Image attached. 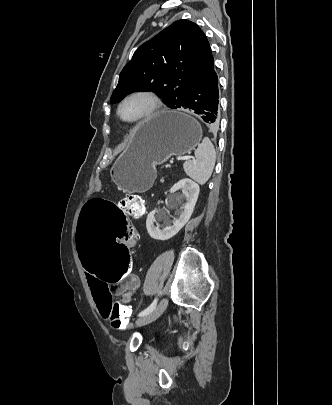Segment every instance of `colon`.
I'll return each mask as SVG.
<instances>
[{
	"mask_svg": "<svg viewBox=\"0 0 332 405\" xmlns=\"http://www.w3.org/2000/svg\"><path fill=\"white\" fill-rule=\"evenodd\" d=\"M142 214L143 199L128 195L120 201L109 202L107 197H89L80 211V220H75V234L80 257V267L86 275H98L99 281H109L110 287H117L118 281H126L131 275L132 249H136L138 227L134 220H128V211ZM108 320L114 328L127 329L135 323L132 307L112 302L108 308ZM150 334L157 332L155 325L148 327Z\"/></svg>",
	"mask_w": 332,
	"mask_h": 405,
	"instance_id": "colon-1",
	"label": "colon"
}]
</instances>
